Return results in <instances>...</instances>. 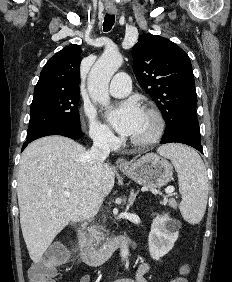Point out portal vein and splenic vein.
<instances>
[{"label":"portal vein and splenic vein","instance_id":"1","mask_svg":"<svg viewBox=\"0 0 232 282\" xmlns=\"http://www.w3.org/2000/svg\"><path fill=\"white\" fill-rule=\"evenodd\" d=\"M174 190H175V189H174L173 186H169V187H167V188L165 189V192H166V194L171 195V194H173ZM63 195H64L65 197H69V196H70V192H69V191H64V192H63Z\"/></svg>","mask_w":232,"mask_h":282}]
</instances>
